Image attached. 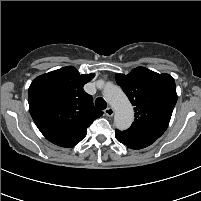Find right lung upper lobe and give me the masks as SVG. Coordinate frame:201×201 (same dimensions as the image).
<instances>
[{"mask_svg": "<svg viewBox=\"0 0 201 201\" xmlns=\"http://www.w3.org/2000/svg\"><path fill=\"white\" fill-rule=\"evenodd\" d=\"M94 74L80 75L75 67H64L33 80L28 91L31 116L50 142L72 147L87 134V128L103 112L94 107L83 86Z\"/></svg>", "mask_w": 201, "mask_h": 201, "instance_id": "cb5924a9", "label": "right lung upper lobe"}]
</instances>
